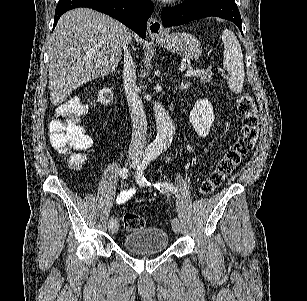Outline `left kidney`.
Segmentation results:
<instances>
[{"label": "left kidney", "instance_id": "5707ae66", "mask_svg": "<svg viewBox=\"0 0 307 301\" xmlns=\"http://www.w3.org/2000/svg\"><path fill=\"white\" fill-rule=\"evenodd\" d=\"M213 106L208 98L196 100L190 110L189 120L199 136H207L214 122Z\"/></svg>", "mask_w": 307, "mask_h": 301}]
</instances>
